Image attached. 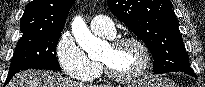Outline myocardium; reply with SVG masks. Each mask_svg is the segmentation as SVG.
Returning <instances> with one entry per match:
<instances>
[{
  "mask_svg": "<svg viewBox=\"0 0 205 87\" xmlns=\"http://www.w3.org/2000/svg\"><path fill=\"white\" fill-rule=\"evenodd\" d=\"M132 43L137 45L143 53V64L141 68L132 74L129 75H119L112 71L107 63L104 61L99 60V64L105 74V76L110 79L111 81L118 82V83H130L136 81L144 76V74L148 71L151 62V55L147 45L139 38L133 36H126L116 38L110 41L109 45L113 48H117L121 45Z\"/></svg>",
  "mask_w": 205,
  "mask_h": 87,
  "instance_id": "obj_1",
  "label": "myocardium"
}]
</instances>
